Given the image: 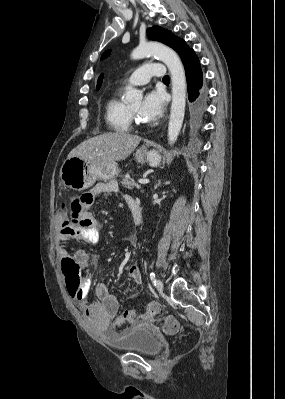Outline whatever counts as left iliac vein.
Segmentation results:
<instances>
[{
    "instance_id": "obj_1",
    "label": "left iliac vein",
    "mask_w": 285,
    "mask_h": 399,
    "mask_svg": "<svg viewBox=\"0 0 285 399\" xmlns=\"http://www.w3.org/2000/svg\"><path fill=\"white\" fill-rule=\"evenodd\" d=\"M156 288H157V290H158L159 292H163V283H162V281H161L160 279L157 280Z\"/></svg>"
}]
</instances>
